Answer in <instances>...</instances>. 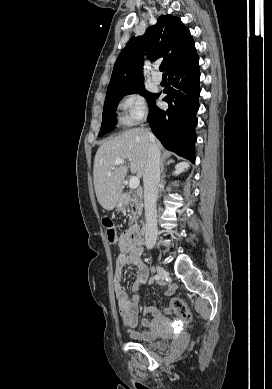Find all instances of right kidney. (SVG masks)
I'll list each match as a JSON object with an SVG mask.
<instances>
[{"label":"right kidney","mask_w":272,"mask_h":389,"mask_svg":"<svg viewBox=\"0 0 272 389\" xmlns=\"http://www.w3.org/2000/svg\"><path fill=\"white\" fill-rule=\"evenodd\" d=\"M189 168L188 163H179L175 166V171L173 172V175H179L180 173L184 172Z\"/></svg>","instance_id":"obj_1"}]
</instances>
